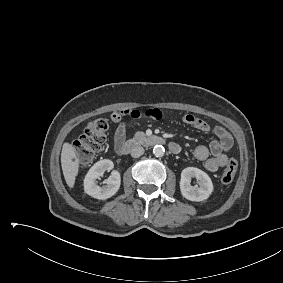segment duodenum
<instances>
[{
	"label": "duodenum",
	"mask_w": 283,
	"mask_h": 283,
	"mask_svg": "<svg viewBox=\"0 0 283 283\" xmlns=\"http://www.w3.org/2000/svg\"><path fill=\"white\" fill-rule=\"evenodd\" d=\"M166 143V140L161 136H149L144 139H131L124 143L118 150V153L120 155H127L131 150H133L135 147L139 146L140 144H145L148 146H154V145H164ZM169 148L172 152H175V150L172 147V144L169 145Z\"/></svg>",
	"instance_id": "duodenum-1"
}]
</instances>
